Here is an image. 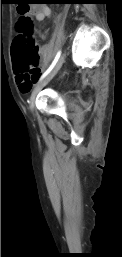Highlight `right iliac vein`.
I'll list each match as a JSON object with an SVG mask.
<instances>
[{
  "instance_id": "63e3f726",
  "label": "right iliac vein",
  "mask_w": 122,
  "mask_h": 257,
  "mask_svg": "<svg viewBox=\"0 0 122 257\" xmlns=\"http://www.w3.org/2000/svg\"><path fill=\"white\" fill-rule=\"evenodd\" d=\"M64 63V55L61 56L59 61L56 63L54 66L53 70L35 87L33 90L31 97H30V110L34 111V103H35V98L37 94L41 91L43 87H45L52 79L53 77L57 74V72L60 70L62 64Z\"/></svg>"
}]
</instances>
